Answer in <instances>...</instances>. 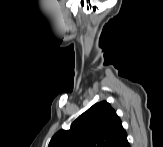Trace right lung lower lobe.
Instances as JSON below:
<instances>
[{"label":"right lung lower lobe","mask_w":163,"mask_h":147,"mask_svg":"<svg viewBox=\"0 0 163 147\" xmlns=\"http://www.w3.org/2000/svg\"><path fill=\"white\" fill-rule=\"evenodd\" d=\"M113 147H129V143L127 141V134H125L119 141H117Z\"/></svg>","instance_id":"1"}]
</instances>
